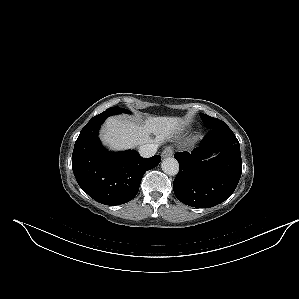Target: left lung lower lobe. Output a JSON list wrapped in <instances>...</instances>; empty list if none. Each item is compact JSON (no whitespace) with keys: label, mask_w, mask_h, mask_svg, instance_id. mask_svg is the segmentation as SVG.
<instances>
[{"label":"left lung lower lobe","mask_w":299,"mask_h":299,"mask_svg":"<svg viewBox=\"0 0 299 299\" xmlns=\"http://www.w3.org/2000/svg\"><path fill=\"white\" fill-rule=\"evenodd\" d=\"M212 152L218 155L205 160ZM180 169L173 189L182 203L196 208H210L228 199L236 189L242 173L239 142L226 124L210 129L189 152H177Z\"/></svg>","instance_id":"0a47b994"}]
</instances>
